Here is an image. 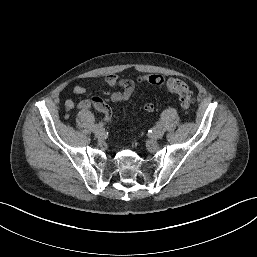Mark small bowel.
I'll list each match as a JSON object with an SVG mask.
<instances>
[{
  "label": "small bowel",
  "mask_w": 257,
  "mask_h": 257,
  "mask_svg": "<svg viewBox=\"0 0 257 257\" xmlns=\"http://www.w3.org/2000/svg\"><path fill=\"white\" fill-rule=\"evenodd\" d=\"M106 83L114 89H120L119 91L112 92L106 98H100L97 96L89 97L85 100H82L78 103L77 107L79 109H90L93 108L103 115V121L108 122L112 116V110L109 107V102H124L127 101L133 94L136 84L138 83H147L150 85H164L165 79L163 76L158 74H151L147 76L139 77L135 80L133 79H123L120 78L117 74H110L106 77ZM73 92L77 95L86 93V87L77 84L73 87ZM67 109L71 110L75 108L76 103L72 99H68L65 102ZM146 113H152L154 111V105L152 103H146L144 106Z\"/></svg>",
  "instance_id": "small-bowel-1"
}]
</instances>
